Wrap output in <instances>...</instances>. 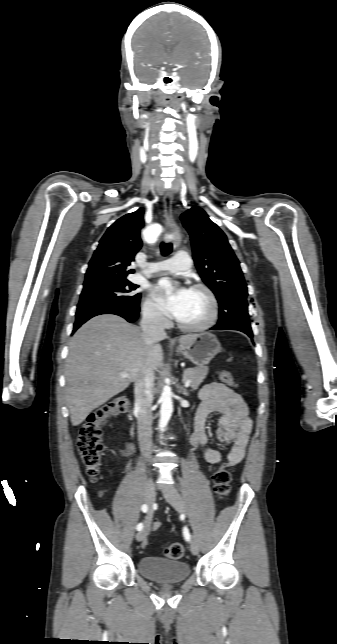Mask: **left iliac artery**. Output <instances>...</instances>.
Returning <instances> with one entry per match:
<instances>
[{
    "instance_id": "1",
    "label": "left iliac artery",
    "mask_w": 337,
    "mask_h": 644,
    "mask_svg": "<svg viewBox=\"0 0 337 644\" xmlns=\"http://www.w3.org/2000/svg\"><path fill=\"white\" fill-rule=\"evenodd\" d=\"M183 535L187 541H190V533L187 527L183 528Z\"/></svg>"
}]
</instances>
